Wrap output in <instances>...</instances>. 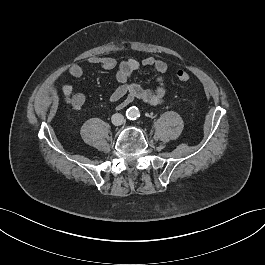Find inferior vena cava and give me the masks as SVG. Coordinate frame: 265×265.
<instances>
[{"instance_id":"1","label":"inferior vena cava","mask_w":265,"mask_h":265,"mask_svg":"<svg viewBox=\"0 0 265 265\" xmlns=\"http://www.w3.org/2000/svg\"><path fill=\"white\" fill-rule=\"evenodd\" d=\"M111 120H112V123L114 125L119 126V125L123 124L124 116L122 114H120V113H115V114L112 115Z\"/></svg>"}]
</instances>
